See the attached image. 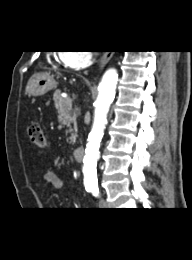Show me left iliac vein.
Listing matches in <instances>:
<instances>
[{
    "label": "left iliac vein",
    "mask_w": 192,
    "mask_h": 260,
    "mask_svg": "<svg viewBox=\"0 0 192 260\" xmlns=\"http://www.w3.org/2000/svg\"><path fill=\"white\" fill-rule=\"evenodd\" d=\"M99 206H100L101 208H108V207H109V204H108L105 200L100 199V201H99Z\"/></svg>",
    "instance_id": "left-iliac-vein-1"
}]
</instances>
